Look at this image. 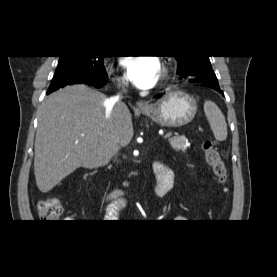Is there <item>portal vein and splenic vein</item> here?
I'll return each mask as SVG.
<instances>
[{"label":"portal vein and splenic vein","mask_w":277,"mask_h":277,"mask_svg":"<svg viewBox=\"0 0 277 277\" xmlns=\"http://www.w3.org/2000/svg\"><path fill=\"white\" fill-rule=\"evenodd\" d=\"M171 137H172V133L169 132V133H167V134L164 135L163 139H169V138H171Z\"/></svg>","instance_id":"1"}]
</instances>
